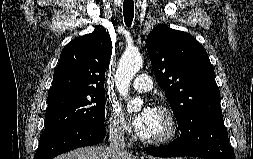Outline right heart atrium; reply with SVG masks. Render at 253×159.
I'll use <instances>...</instances> for the list:
<instances>
[{
  "mask_svg": "<svg viewBox=\"0 0 253 159\" xmlns=\"http://www.w3.org/2000/svg\"><path fill=\"white\" fill-rule=\"evenodd\" d=\"M105 122L109 132L117 138H126L131 132V124L116 104L109 106Z\"/></svg>",
  "mask_w": 253,
  "mask_h": 159,
  "instance_id": "obj_1",
  "label": "right heart atrium"
}]
</instances>
